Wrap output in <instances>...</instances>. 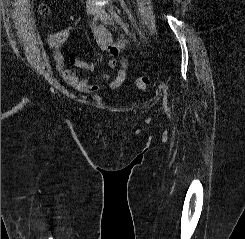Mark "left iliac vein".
Masks as SVG:
<instances>
[{"mask_svg": "<svg viewBox=\"0 0 245 239\" xmlns=\"http://www.w3.org/2000/svg\"><path fill=\"white\" fill-rule=\"evenodd\" d=\"M96 16L106 25L113 23L112 17L103 7H97Z\"/></svg>", "mask_w": 245, "mask_h": 239, "instance_id": "4c4485c4", "label": "left iliac vein"}]
</instances>
